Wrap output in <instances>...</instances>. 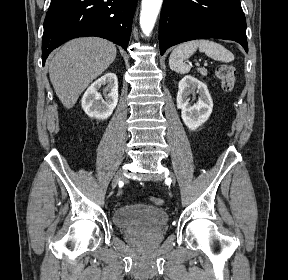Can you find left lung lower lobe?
I'll use <instances>...</instances> for the list:
<instances>
[{"label": "left lung lower lobe", "mask_w": 288, "mask_h": 280, "mask_svg": "<svg viewBox=\"0 0 288 280\" xmlns=\"http://www.w3.org/2000/svg\"><path fill=\"white\" fill-rule=\"evenodd\" d=\"M199 38L233 40L248 52L246 21L239 0H164L159 46L167 48Z\"/></svg>", "instance_id": "obj_1"}]
</instances>
